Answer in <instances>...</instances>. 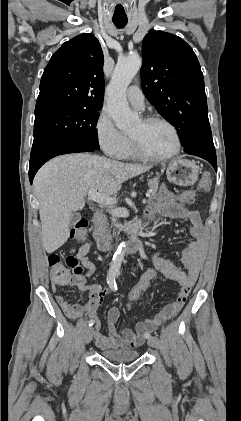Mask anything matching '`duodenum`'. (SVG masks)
<instances>
[{
	"label": "duodenum",
	"mask_w": 241,
	"mask_h": 421,
	"mask_svg": "<svg viewBox=\"0 0 241 421\" xmlns=\"http://www.w3.org/2000/svg\"><path fill=\"white\" fill-rule=\"evenodd\" d=\"M92 222L95 227L94 238L97 242L98 248L101 251H107L109 249V241L104 229L102 228L99 222V219L96 216H94L92 219ZM141 247H142V239L140 235L136 234L129 238L128 244H127L128 252L130 253L137 252L138 250H140Z\"/></svg>",
	"instance_id": "obj_1"
}]
</instances>
